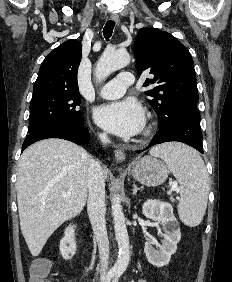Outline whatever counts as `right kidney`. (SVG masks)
<instances>
[{
  "label": "right kidney",
  "mask_w": 232,
  "mask_h": 282,
  "mask_svg": "<svg viewBox=\"0 0 232 282\" xmlns=\"http://www.w3.org/2000/svg\"><path fill=\"white\" fill-rule=\"evenodd\" d=\"M60 252L65 260L71 259L76 252L75 225H69L60 241Z\"/></svg>",
  "instance_id": "1"
}]
</instances>
